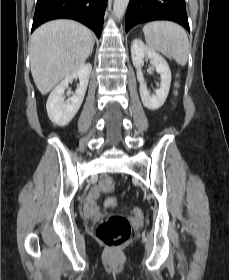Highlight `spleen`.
I'll return each mask as SVG.
<instances>
[{
	"mask_svg": "<svg viewBox=\"0 0 229 280\" xmlns=\"http://www.w3.org/2000/svg\"><path fill=\"white\" fill-rule=\"evenodd\" d=\"M150 49L169 54L180 65L188 60L189 41L186 31L170 21H152L143 27Z\"/></svg>",
	"mask_w": 229,
	"mask_h": 280,
	"instance_id": "3e777b00",
	"label": "spleen"
}]
</instances>
